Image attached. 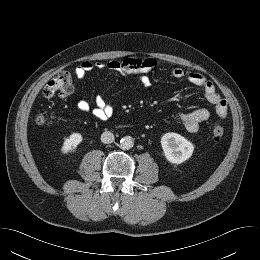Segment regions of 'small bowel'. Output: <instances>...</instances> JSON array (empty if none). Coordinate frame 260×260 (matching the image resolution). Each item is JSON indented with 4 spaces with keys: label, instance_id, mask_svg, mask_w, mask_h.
Returning a JSON list of instances; mask_svg holds the SVG:
<instances>
[{
    "label": "small bowel",
    "instance_id": "small-bowel-1",
    "mask_svg": "<svg viewBox=\"0 0 260 260\" xmlns=\"http://www.w3.org/2000/svg\"><path fill=\"white\" fill-rule=\"evenodd\" d=\"M158 66V62L153 58H126L122 60H111L107 63L83 61L75 69L74 74L78 79H83L94 68L97 70L108 69L112 72L135 75L144 87L150 85L149 74ZM172 75L177 79H185L194 86L200 87L205 94L206 99L214 105L216 114L223 119L228 114L226 101L217 93L213 83L203 75L186 71L180 67L171 69ZM78 110L86 113L90 110L87 101L78 102ZM93 116L99 121H106L113 114L112 105L105 102L102 97L96 99V105L92 110ZM210 113L205 108H199L189 113L180 114L179 121L188 132H197L201 123L208 120Z\"/></svg>",
    "mask_w": 260,
    "mask_h": 260
}]
</instances>
